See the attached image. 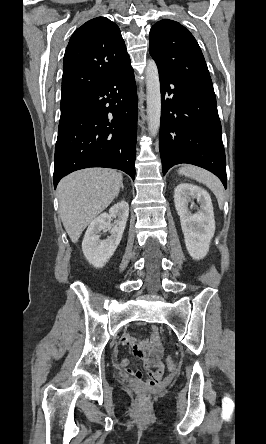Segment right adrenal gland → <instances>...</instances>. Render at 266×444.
I'll return each instance as SVG.
<instances>
[{
	"label": "right adrenal gland",
	"mask_w": 266,
	"mask_h": 444,
	"mask_svg": "<svg viewBox=\"0 0 266 444\" xmlns=\"http://www.w3.org/2000/svg\"><path fill=\"white\" fill-rule=\"evenodd\" d=\"M121 188H122V190L124 189L123 183H121Z\"/></svg>",
	"instance_id": "right-adrenal-gland-1"
}]
</instances>
